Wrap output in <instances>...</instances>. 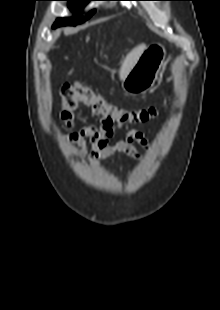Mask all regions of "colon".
Masks as SVG:
<instances>
[{"label":"colon","mask_w":220,"mask_h":310,"mask_svg":"<svg viewBox=\"0 0 220 310\" xmlns=\"http://www.w3.org/2000/svg\"><path fill=\"white\" fill-rule=\"evenodd\" d=\"M61 117L67 126H72L76 109L80 105L90 107L101 116L103 126L113 128L146 123L157 115L154 106L128 109L109 102L104 96L80 82L66 83L61 87Z\"/></svg>","instance_id":"5ec220e1"}]
</instances>
